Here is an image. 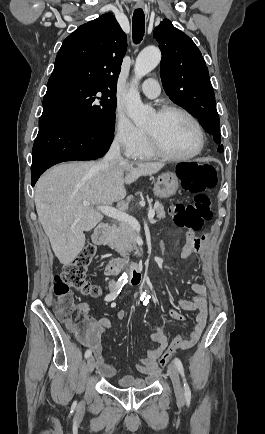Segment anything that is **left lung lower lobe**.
<instances>
[{"label": "left lung lower lobe", "mask_w": 265, "mask_h": 434, "mask_svg": "<svg viewBox=\"0 0 265 434\" xmlns=\"http://www.w3.org/2000/svg\"><path fill=\"white\" fill-rule=\"evenodd\" d=\"M218 151H219V152H223V148H219Z\"/></svg>", "instance_id": "left-lung-lower-lobe-1"}]
</instances>
